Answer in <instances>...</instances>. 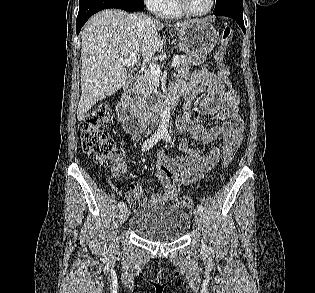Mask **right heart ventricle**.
Instances as JSON below:
<instances>
[{
	"mask_svg": "<svg viewBox=\"0 0 315 293\" xmlns=\"http://www.w3.org/2000/svg\"><path fill=\"white\" fill-rule=\"evenodd\" d=\"M159 14L164 18H179L183 15L177 9L174 0H164V3L159 11Z\"/></svg>",
	"mask_w": 315,
	"mask_h": 293,
	"instance_id": "e07e8e85",
	"label": "right heart ventricle"
}]
</instances>
